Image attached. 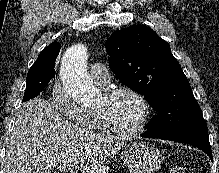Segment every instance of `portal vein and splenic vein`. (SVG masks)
I'll return each instance as SVG.
<instances>
[{
    "instance_id": "1",
    "label": "portal vein and splenic vein",
    "mask_w": 219,
    "mask_h": 173,
    "mask_svg": "<svg viewBox=\"0 0 219 173\" xmlns=\"http://www.w3.org/2000/svg\"><path fill=\"white\" fill-rule=\"evenodd\" d=\"M73 169H74V168L72 167V168H70L69 170H70L71 172H73Z\"/></svg>"
}]
</instances>
